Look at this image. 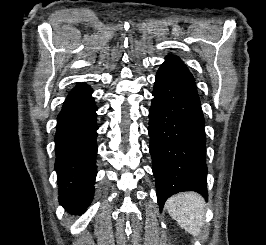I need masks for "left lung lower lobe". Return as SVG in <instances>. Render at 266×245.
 <instances>
[{"instance_id":"0a47b994","label":"left lung lower lobe","mask_w":266,"mask_h":245,"mask_svg":"<svg viewBox=\"0 0 266 245\" xmlns=\"http://www.w3.org/2000/svg\"><path fill=\"white\" fill-rule=\"evenodd\" d=\"M152 95L149 150L160 210L178 192L207 197L204 117L194 77L180 59L166 57Z\"/></svg>"}]
</instances>
